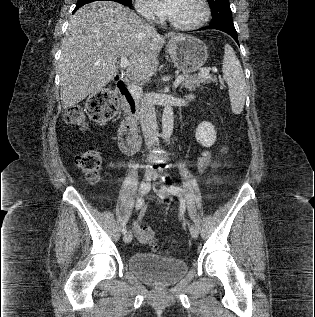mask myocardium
Instances as JSON below:
<instances>
[{"mask_svg": "<svg viewBox=\"0 0 315 317\" xmlns=\"http://www.w3.org/2000/svg\"><path fill=\"white\" fill-rule=\"evenodd\" d=\"M199 3L202 8V14L198 20L191 23H178L169 18V24L179 30H194L202 27L209 19L210 7L207 0H199Z\"/></svg>", "mask_w": 315, "mask_h": 317, "instance_id": "obj_1", "label": "myocardium"}]
</instances>
